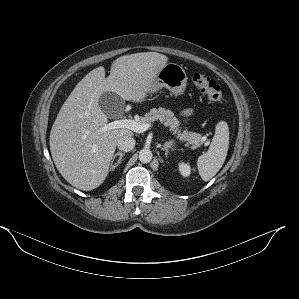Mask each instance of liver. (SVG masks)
<instances>
[{
	"instance_id": "6515ba94",
	"label": "liver",
	"mask_w": 299,
	"mask_h": 299,
	"mask_svg": "<svg viewBox=\"0 0 299 299\" xmlns=\"http://www.w3.org/2000/svg\"><path fill=\"white\" fill-rule=\"evenodd\" d=\"M168 57L157 52L124 55L113 61L105 78L103 66L90 71L61 107L50 132V151L56 168L74 187L90 191L106 179L117 142L127 128L103 131L107 122L98 105L104 92L142 103Z\"/></svg>"
}]
</instances>
